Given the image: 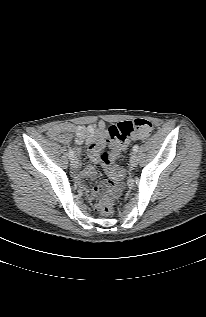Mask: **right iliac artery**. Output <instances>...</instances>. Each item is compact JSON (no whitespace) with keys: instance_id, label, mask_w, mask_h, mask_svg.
Returning a JSON list of instances; mask_svg holds the SVG:
<instances>
[{"instance_id":"1","label":"right iliac artery","mask_w":206,"mask_h":317,"mask_svg":"<svg viewBox=\"0 0 206 317\" xmlns=\"http://www.w3.org/2000/svg\"><path fill=\"white\" fill-rule=\"evenodd\" d=\"M69 158L72 160L74 158V153L72 151V149H69Z\"/></svg>"}]
</instances>
